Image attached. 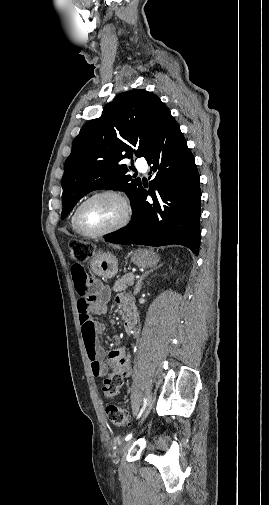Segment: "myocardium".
I'll return each instance as SVG.
<instances>
[{"instance_id": "1", "label": "myocardium", "mask_w": 269, "mask_h": 505, "mask_svg": "<svg viewBox=\"0 0 269 505\" xmlns=\"http://www.w3.org/2000/svg\"><path fill=\"white\" fill-rule=\"evenodd\" d=\"M104 196H110V197H113V198H116L117 200H119L123 206V215H122L121 219L115 225H113L105 230H101V231L88 230L81 223V219H80L81 211L85 207V205L88 204L90 201H92L96 198H99V197H104ZM131 214H132V209H131V205H130L128 198L123 193H121L117 190L106 189V190H101V191L93 193L92 195L87 197L85 200H83L78 205V207L75 210V214H74V223H75L76 228L79 230V232L82 235H85L87 237H102V236H106V235L112 234L114 232H117V231L121 230L122 228H124L128 224V222L130 221Z\"/></svg>"}]
</instances>
